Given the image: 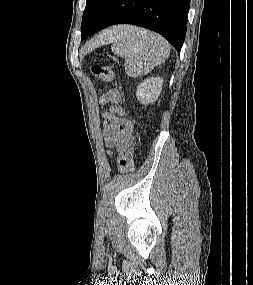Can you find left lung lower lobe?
<instances>
[{
  "instance_id": "left-lung-lower-lobe-1",
  "label": "left lung lower lobe",
  "mask_w": 253,
  "mask_h": 285,
  "mask_svg": "<svg viewBox=\"0 0 253 285\" xmlns=\"http://www.w3.org/2000/svg\"><path fill=\"white\" fill-rule=\"evenodd\" d=\"M188 11L189 0H111L88 36L111 25L133 24L161 34L180 53Z\"/></svg>"
}]
</instances>
